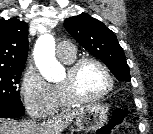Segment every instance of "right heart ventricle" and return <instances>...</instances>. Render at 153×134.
I'll use <instances>...</instances> for the list:
<instances>
[{
    "label": "right heart ventricle",
    "mask_w": 153,
    "mask_h": 134,
    "mask_svg": "<svg viewBox=\"0 0 153 134\" xmlns=\"http://www.w3.org/2000/svg\"><path fill=\"white\" fill-rule=\"evenodd\" d=\"M66 64H71L75 60V55L71 58H61ZM55 94V108L69 106L70 103L65 99L59 85L53 86Z\"/></svg>",
    "instance_id": "obj_1"
}]
</instances>
